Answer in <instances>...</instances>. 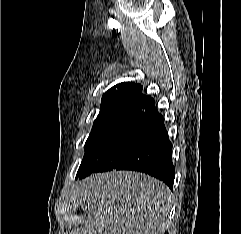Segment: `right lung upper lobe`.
<instances>
[{"label":"right lung upper lobe","mask_w":241,"mask_h":234,"mask_svg":"<svg viewBox=\"0 0 241 234\" xmlns=\"http://www.w3.org/2000/svg\"><path fill=\"white\" fill-rule=\"evenodd\" d=\"M149 96L142 94V86L135 83H119L109 89L102 98L101 106L131 104L139 106Z\"/></svg>","instance_id":"obj_1"}]
</instances>
